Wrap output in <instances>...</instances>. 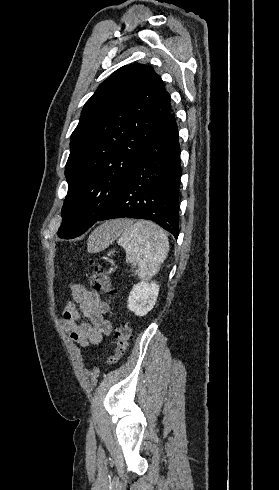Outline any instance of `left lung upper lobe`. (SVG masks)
I'll return each mask as SVG.
<instances>
[{
    "label": "left lung upper lobe",
    "mask_w": 279,
    "mask_h": 490,
    "mask_svg": "<svg viewBox=\"0 0 279 490\" xmlns=\"http://www.w3.org/2000/svg\"><path fill=\"white\" fill-rule=\"evenodd\" d=\"M170 115V95L152 66H123L100 84L71 135L60 238L82 235L111 207L143 147Z\"/></svg>",
    "instance_id": "left-lung-upper-lobe-1"
}]
</instances>
